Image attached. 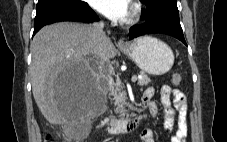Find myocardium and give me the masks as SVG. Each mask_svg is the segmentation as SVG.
<instances>
[{"instance_id": "1", "label": "myocardium", "mask_w": 227, "mask_h": 142, "mask_svg": "<svg viewBox=\"0 0 227 142\" xmlns=\"http://www.w3.org/2000/svg\"><path fill=\"white\" fill-rule=\"evenodd\" d=\"M141 15H142V6L138 1H135L132 4L131 12L126 23L128 25L135 24L136 22L139 21V19L141 18Z\"/></svg>"}]
</instances>
